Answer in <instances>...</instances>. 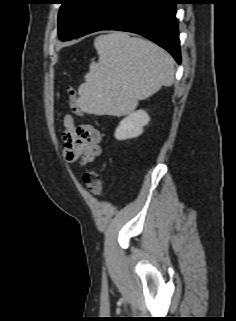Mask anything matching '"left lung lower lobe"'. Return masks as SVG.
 Segmentation results:
<instances>
[{
  "instance_id": "obj_1",
  "label": "left lung lower lobe",
  "mask_w": 236,
  "mask_h": 321,
  "mask_svg": "<svg viewBox=\"0 0 236 321\" xmlns=\"http://www.w3.org/2000/svg\"><path fill=\"white\" fill-rule=\"evenodd\" d=\"M176 4L179 0H102L74 38L100 30L136 33L181 62Z\"/></svg>"
}]
</instances>
